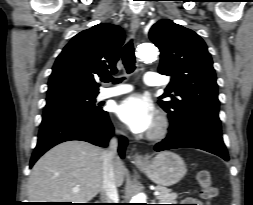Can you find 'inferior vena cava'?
<instances>
[{
  "mask_svg": "<svg viewBox=\"0 0 253 205\" xmlns=\"http://www.w3.org/2000/svg\"><path fill=\"white\" fill-rule=\"evenodd\" d=\"M118 141L113 137L109 148L104 152L103 181L101 186L102 203H118V192L114 174V160L117 158Z\"/></svg>",
  "mask_w": 253,
  "mask_h": 205,
  "instance_id": "obj_1",
  "label": "inferior vena cava"
}]
</instances>
